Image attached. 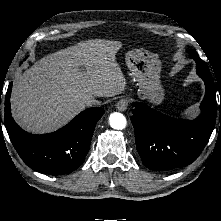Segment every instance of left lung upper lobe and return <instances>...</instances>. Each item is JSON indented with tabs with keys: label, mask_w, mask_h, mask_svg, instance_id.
<instances>
[{
	"label": "left lung upper lobe",
	"mask_w": 221,
	"mask_h": 221,
	"mask_svg": "<svg viewBox=\"0 0 221 221\" xmlns=\"http://www.w3.org/2000/svg\"><path fill=\"white\" fill-rule=\"evenodd\" d=\"M190 53V57L191 58H193L194 60H196V59H198L199 58V56H198V54L196 53V51H191V52H189Z\"/></svg>",
	"instance_id": "1"
}]
</instances>
